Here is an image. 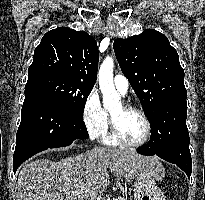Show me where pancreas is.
<instances>
[{
  "instance_id": "obj_1",
  "label": "pancreas",
  "mask_w": 205,
  "mask_h": 200,
  "mask_svg": "<svg viewBox=\"0 0 205 200\" xmlns=\"http://www.w3.org/2000/svg\"><path fill=\"white\" fill-rule=\"evenodd\" d=\"M113 200H127L125 198H117V199H113Z\"/></svg>"
}]
</instances>
